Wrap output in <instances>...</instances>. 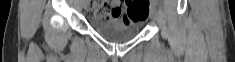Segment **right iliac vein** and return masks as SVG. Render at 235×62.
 <instances>
[{
    "mask_svg": "<svg viewBox=\"0 0 235 62\" xmlns=\"http://www.w3.org/2000/svg\"><path fill=\"white\" fill-rule=\"evenodd\" d=\"M88 6H89V3L87 1H85L83 3V8L86 10L88 8Z\"/></svg>",
    "mask_w": 235,
    "mask_h": 62,
    "instance_id": "1",
    "label": "right iliac vein"
}]
</instances>
